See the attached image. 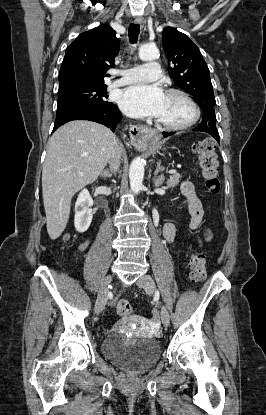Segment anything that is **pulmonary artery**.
I'll return each mask as SVG.
<instances>
[{"label": "pulmonary artery", "instance_id": "pulmonary-artery-1", "mask_svg": "<svg viewBox=\"0 0 266 415\" xmlns=\"http://www.w3.org/2000/svg\"><path fill=\"white\" fill-rule=\"evenodd\" d=\"M160 73V64L158 62H149L120 71L121 78L114 81L113 86L119 87L139 82L154 81L160 77Z\"/></svg>", "mask_w": 266, "mask_h": 415}]
</instances>
